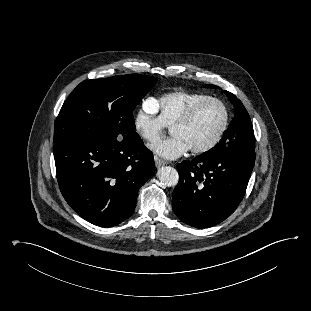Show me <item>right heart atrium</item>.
Masks as SVG:
<instances>
[{"label": "right heart atrium", "mask_w": 311, "mask_h": 311, "mask_svg": "<svg viewBox=\"0 0 311 311\" xmlns=\"http://www.w3.org/2000/svg\"><path fill=\"white\" fill-rule=\"evenodd\" d=\"M133 128L136 134L148 144L155 142L161 136L166 126L157 114L153 99L144 101L141 108L134 114Z\"/></svg>", "instance_id": "right-heart-atrium-1"}]
</instances>
